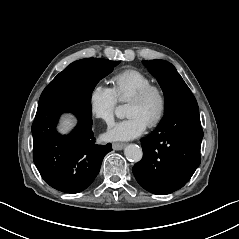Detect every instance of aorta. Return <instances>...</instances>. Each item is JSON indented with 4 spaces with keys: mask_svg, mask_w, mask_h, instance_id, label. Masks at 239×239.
<instances>
[{
    "mask_svg": "<svg viewBox=\"0 0 239 239\" xmlns=\"http://www.w3.org/2000/svg\"><path fill=\"white\" fill-rule=\"evenodd\" d=\"M115 115L119 119L125 118V116H126L125 115V106L120 105V106L116 107ZM124 154L127 159L133 160L134 162L140 161L142 159V155H143L141 147L136 144L127 145L124 149Z\"/></svg>",
    "mask_w": 239,
    "mask_h": 239,
    "instance_id": "aorta-1",
    "label": "aorta"
}]
</instances>
